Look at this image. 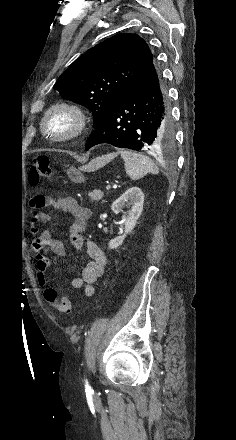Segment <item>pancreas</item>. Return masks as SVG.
Listing matches in <instances>:
<instances>
[{
  "label": "pancreas",
  "mask_w": 236,
  "mask_h": 440,
  "mask_svg": "<svg viewBox=\"0 0 236 440\" xmlns=\"http://www.w3.org/2000/svg\"><path fill=\"white\" fill-rule=\"evenodd\" d=\"M88 196L91 198V201H99L103 198V192L100 190H94L89 192Z\"/></svg>",
  "instance_id": "obj_1"
}]
</instances>
